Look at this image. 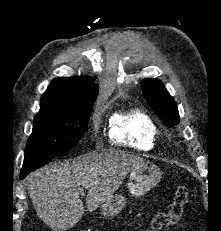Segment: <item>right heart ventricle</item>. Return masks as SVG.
Listing matches in <instances>:
<instances>
[{
    "label": "right heart ventricle",
    "instance_id": "1",
    "mask_svg": "<svg viewBox=\"0 0 221 231\" xmlns=\"http://www.w3.org/2000/svg\"><path fill=\"white\" fill-rule=\"evenodd\" d=\"M109 138L118 145L149 151L156 145L158 128L154 121L139 109L119 112L111 118Z\"/></svg>",
    "mask_w": 221,
    "mask_h": 231
}]
</instances>
